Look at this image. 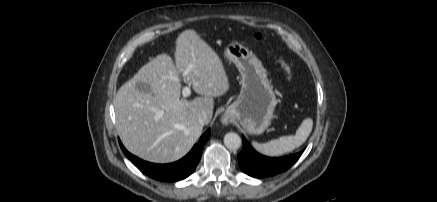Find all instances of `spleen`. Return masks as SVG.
<instances>
[{
  "label": "spleen",
  "mask_w": 437,
  "mask_h": 202,
  "mask_svg": "<svg viewBox=\"0 0 437 202\" xmlns=\"http://www.w3.org/2000/svg\"><path fill=\"white\" fill-rule=\"evenodd\" d=\"M313 120L306 118L302 121L295 135L282 136L278 139L266 143L252 142L253 147L261 154L267 156H279L293 151L301 146L308 138L312 131Z\"/></svg>",
  "instance_id": "obj_1"
}]
</instances>
